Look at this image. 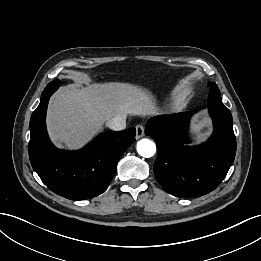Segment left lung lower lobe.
I'll list each match as a JSON object with an SVG mask.
<instances>
[{
    "label": "left lung lower lobe",
    "instance_id": "1",
    "mask_svg": "<svg viewBox=\"0 0 261 261\" xmlns=\"http://www.w3.org/2000/svg\"><path fill=\"white\" fill-rule=\"evenodd\" d=\"M214 125L210 139L199 146H185L193 112L151 118L146 135L156 140L158 157L154 174L163 189L177 197L208 194L225 178L236 154L231 113L209 111Z\"/></svg>",
    "mask_w": 261,
    "mask_h": 261
}]
</instances>
